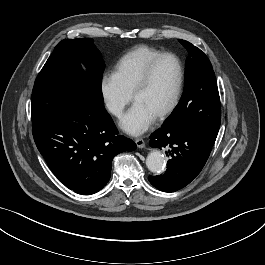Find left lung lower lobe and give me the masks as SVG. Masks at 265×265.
Wrapping results in <instances>:
<instances>
[{
	"mask_svg": "<svg viewBox=\"0 0 265 265\" xmlns=\"http://www.w3.org/2000/svg\"><path fill=\"white\" fill-rule=\"evenodd\" d=\"M151 147L170 148L168 168L163 175L149 176L157 189L174 192L189 184L204 167L214 143L200 132L185 128H160L150 136Z\"/></svg>",
	"mask_w": 265,
	"mask_h": 265,
	"instance_id": "1",
	"label": "left lung lower lobe"
}]
</instances>
